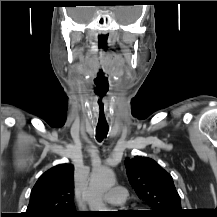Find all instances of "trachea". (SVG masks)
<instances>
[{"label": "trachea", "instance_id": "trachea-1", "mask_svg": "<svg viewBox=\"0 0 217 217\" xmlns=\"http://www.w3.org/2000/svg\"><path fill=\"white\" fill-rule=\"evenodd\" d=\"M108 127H96V139L101 142L108 133Z\"/></svg>", "mask_w": 217, "mask_h": 217}]
</instances>
